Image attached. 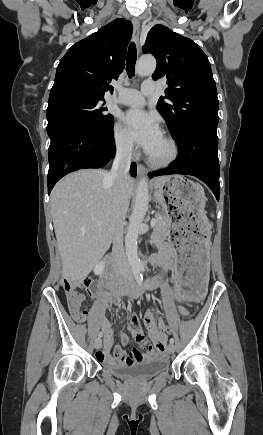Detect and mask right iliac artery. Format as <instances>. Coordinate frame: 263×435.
I'll list each match as a JSON object with an SVG mask.
<instances>
[{
    "mask_svg": "<svg viewBox=\"0 0 263 435\" xmlns=\"http://www.w3.org/2000/svg\"><path fill=\"white\" fill-rule=\"evenodd\" d=\"M135 277H136V281H137L139 284H141L142 281H143V275L140 273V270H139V269H137V270L135 271ZM102 336H103L102 332H99V333H98V337H102Z\"/></svg>",
    "mask_w": 263,
    "mask_h": 435,
    "instance_id": "82829eb1",
    "label": "right iliac artery"
}]
</instances>
